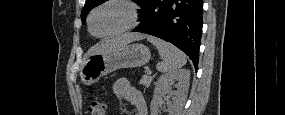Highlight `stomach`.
Segmentation results:
<instances>
[{"label":"stomach","mask_w":285,"mask_h":115,"mask_svg":"<svg viewBox=\"0 0 285 115\" xmlns=\"http://www.w3.org/2000/svg\"><path fill=\"white\" fill-rule=\"evenodd\" d=\"M150 57L149 48L139 43L125 45L109 53L92 54L84 61L80 77L85 85H92L118 69L144 66Z\"/></svg>","instance_id":"stomach-1"}]
</instances>
